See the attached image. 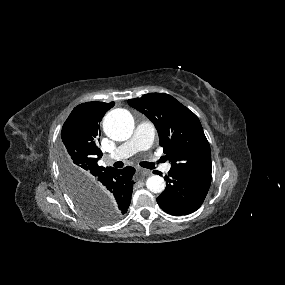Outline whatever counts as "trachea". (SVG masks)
Instances as JSON below:
<instances>
[{"label":"trachea","instance_id":"obj_1","mask_svg":"<svg viewBox=\"0 0 285 285\" xmlns=\"http://www.w3.org/2000/svg\"><path fill=\"white\" fill-rule=\"evenodd\" d=\"M140 166L147 168V169H154L155 168L154 163H150V162H140ZM114 167L122 168L123 162L122 161L115 162Z\"/></svg>","mask_w":285,"mask_h":285}]
</instances>
